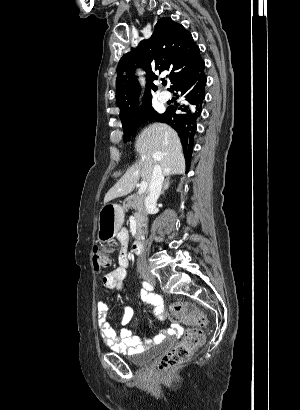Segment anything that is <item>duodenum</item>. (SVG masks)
Wrapping results in <instances>:
<instances>
[{
	"label": "duodenum",
	"instance_id": "duodenum-1",
	"mask_svg": "<svg viewBox=\"0 0 300 410\" xmlns=\"http://www.w3.org/2000/svg\"><path fill=\"white\" fill-rule=\"evenodd\" d=\"M132 249L134 253H141L143 250V242L140 239H137L132 244Z\"/></svg>",
	"mask_w": 300,
	"mask_h": 410
}]
</instances>
